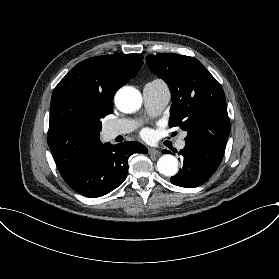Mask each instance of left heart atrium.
Wrapping results in <instances>:
<instances>
[{
	"label": "left heart atrium",
	"mask_w": 279,
	"mask_h": 279,
	"mask_svg": "<svg viewBox=\"0 0 279 279\" xmlns=\"http://www.w3.org/2000/svg\"><path fill=\"white\" fill-rule=\"evenodd\" d=\"M142 135H143V136H146V135H147V131H143V132H142Z\"/></svg>",
	"instance_id": "39dd6f15"
}]
</instances>
